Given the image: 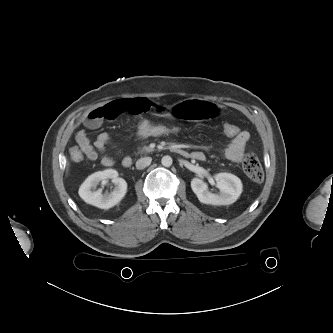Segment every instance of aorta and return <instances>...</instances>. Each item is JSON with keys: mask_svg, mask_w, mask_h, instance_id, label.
<instances>
[{"mask_svg": "<svg viewBox=\"0 0 333 333\" xmlns=\"http://www.w3.org/2000/svg\"><path fill=\"white\" fill-rule=\"evenodd\" d=\"M161 163L164 167H170L173 163V160L170 156L166 155V156H163Z\"/></svg>", "mask_w": 333, "mask_h": 333, "instance_id": "aorta-1", "label": "aorta"}]
</instances>
